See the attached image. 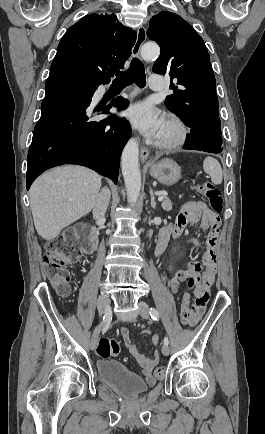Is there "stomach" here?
I'll list each match as a JSON object with an SVG mask.
<instances>
[{"instance_id":"stomach-1","label":"stomach","mask_w":265,"mask_h":434,"mask_svg":"<svg viewBox=\"0 0 265 434\" xmlns=\"http://www.w3.org/2000/svg\"><path fill=\"white\" fill-rule=\"evenodd\" d=\"M150 176L158 180L160 184H165V186H172L179 182L181 178V168L170 158H164L160 160L157 164H153L150 170Z\"/></svg>"}]
</instances>
